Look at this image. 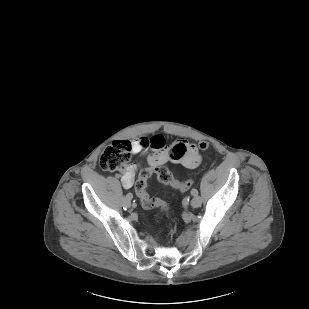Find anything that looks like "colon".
Instances as JSON below:
<instances>
[{"label":"colon","instance_id":"obj_1","mask_svg":"<svg viewBox=\"0 0 309 309\" xmlns=\"http://www.w3.org/2000/svg\"><path fill=\"white\" fill-rule=\"evenodd\" d=\"M209 145L206 142H201L199 144V149L202 151H206ZM132 153V145L128 140H118L114 141L110 145H108L99 157V165L100 167L109 172H117L125 168L126 164L130 160ZM157 176V178L170 185L174 189L179 191H186L190 189L193 185V179L189 178L186 181L177 180L170 170L165 166H157L154 169H143L141 170L138 180L135 184L136 194L141 202V205L145 209H152L154 207H162L166 209V205L158 200L149 196L146 191V182L147 179L153 174Z\"/></svg>","mask_w":309,"mask_h":309}]
</instances>
